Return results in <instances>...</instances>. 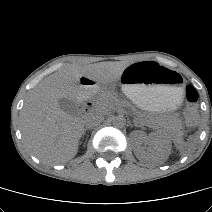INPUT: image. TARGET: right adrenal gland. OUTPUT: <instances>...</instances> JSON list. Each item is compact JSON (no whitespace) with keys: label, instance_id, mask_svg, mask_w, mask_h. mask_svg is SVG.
I'll return each mask as SVG.
<instances>
[{"label":"right adrenal gland","instance_id":"2a0ac1e0","mask_svg":"<svg viewBox=\"0 0 212 212\" xmlns=\"http://www.w3.org/2000/svg\"><path fill=\"white\" fill-rule=\"evenodd\" d=\"M89 129H90V128H87V127H86V128L84 129L83 135H85L86 131L89 130Z\"/></svg>","mask_w":212,"mask_h":212}]
</instances>
